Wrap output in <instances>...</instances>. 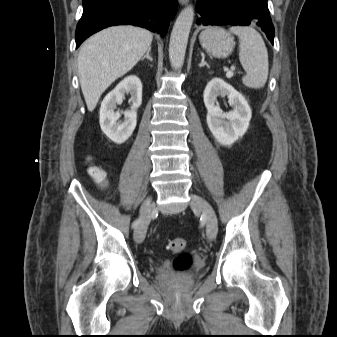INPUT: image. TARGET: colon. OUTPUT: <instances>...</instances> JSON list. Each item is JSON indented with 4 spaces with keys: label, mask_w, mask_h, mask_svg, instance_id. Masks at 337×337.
<instances>
[{
    "label": "colon",
    "mask_w": 337,
    "mask_h": 337,
    "mask_svg": "<svg viewBox=\"0 0 337 337\" xmlns=\"http://www.w3.org/2000/svg\"><path fill=\"white\" fill-rule=\"evenodd\" d=\"M90 174L100 185H105L103 172L98 167H91ZM186 242L182 238H174L169 242V248L175 253H180L184 250ZM191 265V258L187 254H182L174 261V267L178 271H184Z\"/></svg>",
    "instance_id": "5ec220e1"
}]
</instances>
